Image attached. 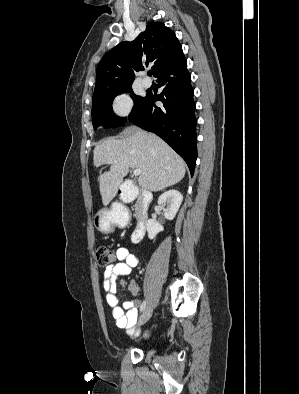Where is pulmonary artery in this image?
<instances>
[{
	"label": "pulmonary artery",
	"mask_w": 299,
	"mask_h": 394,
	"mask_svg": "<svg viewBox=\"0 0 299 394\" xmlns=\"http://www.w3.org/2000/svg\"><path fill=\"white\" fill-rule=\"evenodd\" d=\"M142 85H143L145 88H150V87L152 86V82H151L150 79L145 78V79L142 81Z\"/></svg>",
	"instance_id": "e3ab8cb5"
}]
</instances>
